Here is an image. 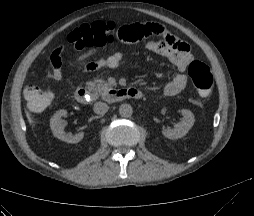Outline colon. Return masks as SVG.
<instances>
[{
    "mask_svg": "<svg viewBox=\"0 0 254 216\" xmlns=\"http://www.w3.org/2000/svg\"><path fill=\"white\" fill-rule=\"evenodd\" d=\"M117 26L112 22H93L74 30L68 36V43L74 49H101L113 44L117 38ZM188 74L199 94L208 96L213 88L211 68L205 63L193 61L189 64ZM25 100L29 108L35 112H42L50 105L53 95L36 84L29 85L24 91Z\"/></svg>",
    "mask_w": 254,
    "mask_h": 216,
    "instance_id": "1",
    "label": "colon"
}]
</instances>
